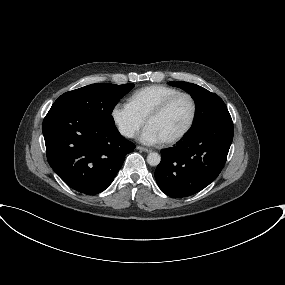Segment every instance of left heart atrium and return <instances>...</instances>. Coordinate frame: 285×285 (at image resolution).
Segmentation results:
<instances>
[{"label":"left heart atrium","mask_w":285,"mask_h":285,"mask_svg":"<svg viewBox=\"0 0 285 285\" xmlns=\"http://www.w3.org/2000/svg\"><path fill=\"white\" fill-rule=\"evenodd\" d=\"M139 140L147 145H155L159 144L162 141L161 137L156 133V131L151 128L150 126H147L143 132L141 133Z\"/></svg>","instance_id":"obj_1"}]
</instances>
